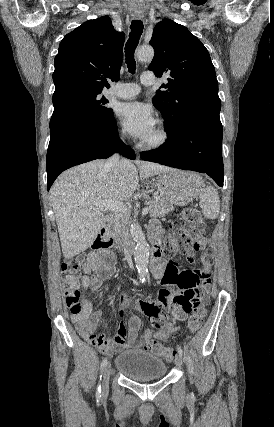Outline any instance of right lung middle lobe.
Listing matches in <instances>:
<instances>
[{
	"instance_id": "1",
	"label": "right lung middle lobe",
	"mask_w": 274,
	"mask_h": 427,
	"mask_svg": "<svg viewBox=\"0 0 274 427\" xmlns=\"http://www.w3.org/2000/svg\"><path fill=\"white\" fill-rule=\"evenodd\" d=\"M98 94H67L54 102L50 120V134L64 124L74 121L101 122L113 116V110L105 106L108 100Z\"/></svg>"
}]
</instances>
